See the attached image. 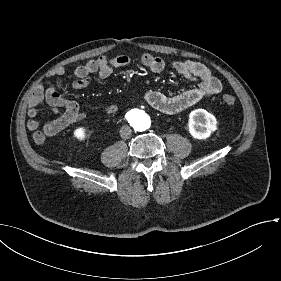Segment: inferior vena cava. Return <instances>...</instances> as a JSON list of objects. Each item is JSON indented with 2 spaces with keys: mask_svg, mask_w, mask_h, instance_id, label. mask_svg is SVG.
I'll list each match as a JSON object with an SVG mask.
<instances>
[{
  "mask_svg": "<svg viewBox=\"0 0 281 281\" xmlns=\"http://www.w3.org/2000/svg\"><path fill=\"white\" fill-rule=\"evenodd\" d=\"M132 130L129 126H122L120 129V136L122 139H129L131 137Z\"/></svg>",
  "mask_w": 281,
  "mask_h": 281,
  "instance_id": "obj_1",
  "label": "inferior vena cava"
}]
</instances>
